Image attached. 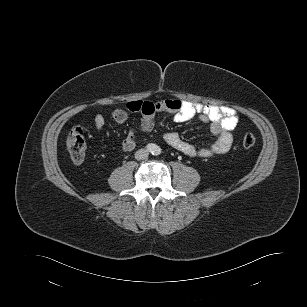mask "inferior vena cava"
Segmentation results:
<instances>
[{
    "label": "inferior vena cava",
    "mask_w": 307,
    "mask_h": 307,
    "mask_svg": "<svg viewBox=\"0 0 307 307\" xmlns=\"http://www.w3.org/2000/svg\"><path fill=\"white\" fill-rule=\"evenodd\" d=\"M148 155H149V151L147 149H139L135 153V158L137 160H144L148 158Z\"/></svg>",
    "instance_id": "602c4592"
}]
</instances>
